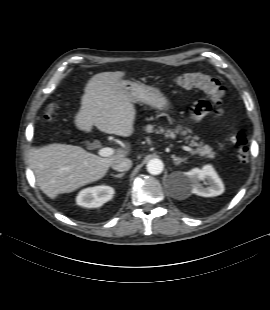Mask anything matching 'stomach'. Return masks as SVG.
I'll use <instances>...</instances> for the list:
<instances>
[{"mask_svg": "<svg viewBox=\"0 0 270 310\" xmlns=\"http://www.w3.org/2000/svg\"><path fill=\"white\" fill-rule=\"evenodd\" d=\"M122 83L133 102L145 103L158 110L168 108V101L159 89L139 82L123 81Z\"/></svg>", "mask_w": 270, "mask_h": 310, "instance_id": "0dacf381", "label": "stomach"}]
</instances>
